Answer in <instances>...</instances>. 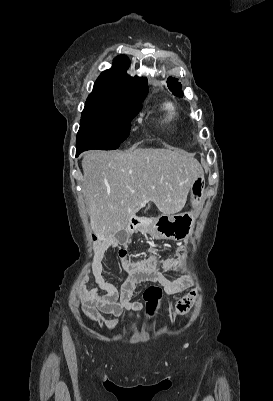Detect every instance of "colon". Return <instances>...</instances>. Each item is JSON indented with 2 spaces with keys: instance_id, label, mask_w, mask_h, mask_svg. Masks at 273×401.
<instances>
[{
  "instance_id": "5ec220e1",
  "label": "colon",
  "mask_w": 273,
  "mask_h": 401,
  "mask_svg": "<svg viewBox=\"0 0 273 401\" xmlns=\"http://www.w3.org/2000/svg\"><path fill=\"white\" fill-rule=\"evenodd\" d=\"M79 294L82 297H92L94 296L95 291L92 288H82L80 289ZM151 295L153 297L149 298ZM146 296L147 300L145 302L144 315L150 320L156 317L159 313L162 290L159 286L151 285L150 291L146 292Z\"/></svg>"
}]
</instances>
